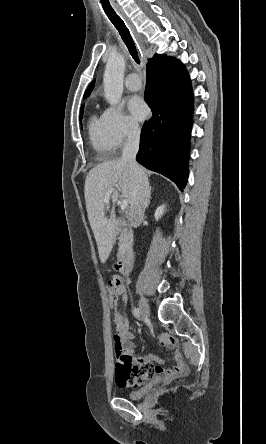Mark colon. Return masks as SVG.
Segmentation results:
<instances>
[{
    "instance_id": "colon-1",
    "label": "colon",
    "mask_w": 266,
    "mask_h": 444,
    "mask_svg": "<svg viewBox=\"0 0 266 444\" xmlns=\"http://www.w3.org/2000/svg\"><path fill=\"white\" fill-rule=\"evenodd\" d=\"M122 283L119 280L111 279L109 281V306L113 313L117 312V304L120 296Z\"/></svg>"
}]
</instances>
